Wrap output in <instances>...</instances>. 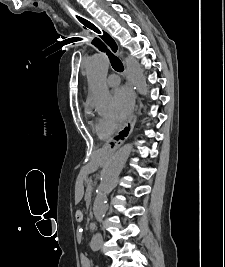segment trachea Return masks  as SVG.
Masks as SVG:
<instances>
[{"instance_id":"3493384b","label":"trachea","mask_w":225,"mask_h":267,"mask_svg":"<svg viewBox=\"0 0 225 267\" xmlns=\"http://www.w3.org/2000/svg\"><path fill=\"white\" fill-rule=\"evenodd\" d=\"M77 19L84 25L85 28H88V29H91L93 30L94 32L96 33H101V31L99 30L98 27H96L93 23H91L90 21L82 18V17H79L77 16ZM101 38L104 40V42L106 44H109L110 42V39L111 37L108 35V34H105L104 33V36H101ZM93 44L102 52H106L109 59H110V62H111V65L113 67L114 70H116L117 72H122L124 70V67H123V64L121 62V60L116 57L115 55H113L106 47V45L98 38H95L93 40Z\"/></svg>"}]
</instances>
